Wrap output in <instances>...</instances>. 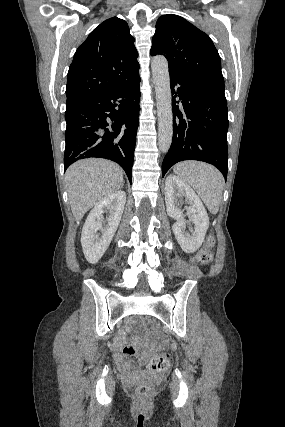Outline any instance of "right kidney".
I'll return each mask as SVG.
<instances>
[{
    "label": "right kidney",
    "instance_id": "ca27d5eb",
    "mask_svg": "<svg viewBox=\"0 0 285 427\" xmlns=\"http://www.w3.org/2000/svg\"><path fill=\"white\" fill-rule=\"evenodd\" d=\"M125 203L126 193L116 191L98 202L89 213L81 233V244L88 262L97 263L107 250L120 223ZM105 212L110 214L106 220L103 217ZM98 231H101V236Z\"/></svg>",
    "mask_w": 285,
    "mask_h": 427
}]
</instances>
